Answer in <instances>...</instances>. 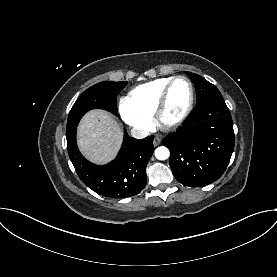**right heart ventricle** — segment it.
Returning a JSON list of instances; mask_svg holds the SVG:
<instances>
[{
    "instance_id": "e07e8e85",
    "label": "right heart ventricle",
    "mask_w": 277,
    "mask_h": 277,
    "mask_svg": "<svg viewBox=\"0 0 277 277\" xmlns=\"http://www.w3.org/2000/svg\"><path fill=\"white\" fill-rule=\"evenodd\" d=\"M173 77L159 78L133 88L126 102L136 111L151 117L165 86Z\"/></svg>"
}]
</instances>
